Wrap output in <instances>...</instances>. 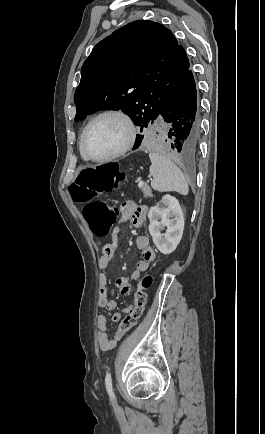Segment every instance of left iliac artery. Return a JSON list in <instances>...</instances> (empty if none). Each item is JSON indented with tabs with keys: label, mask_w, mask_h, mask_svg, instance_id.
I'll use <instances>...</instances> for the list:
<instances>
[{
	"label": "left iliac artery",
	"mask_w": 265,
	"mask_h": 434,
	"mask_svg": "<svg viewBox=\"0 0 265 434\" xmlns=\"http://www.w3.org/2000/svg\"><path fill=\"white\" fill-rule=\"evenodd\" d=\"M105 385H106V389H107V392H108L109 396H110L112 399H114L115 396H114V392H113V387H112V378H111V373H110V372H107V373H106V377H105Z\"/></svg>",
	"instance_id": "obj_1"
}]
</instances>
